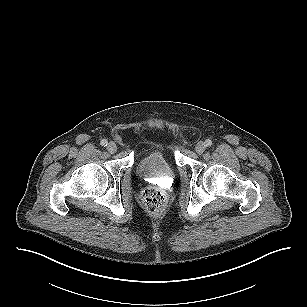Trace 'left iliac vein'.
I'll return each instance as SVG.
<instances>
[{
  "mask_svg": "<svg viewBox=\"0 0 307 307\" xmlns=\"http://www.w3.org/2000/svg\"><path fill=\"white\" fill-rule=\"evenodd\" d=\"M205 149H206V146H205V144L203 143V142H198L197 144H196V146H195V151H196V153H198V154H202L204 151H205Z\"/></svg>",
  "mask_w": 307,
  "mask_h": 307,
  "instance_id": "4c4485c4",
  "label": "left iliac vein"
}]
</instances>
